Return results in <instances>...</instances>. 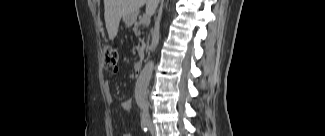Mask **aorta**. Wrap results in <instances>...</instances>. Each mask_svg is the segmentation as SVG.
Segmentation results:
<instances>
[{
    "instance_id": "762f6f07",
    "label": "aorta",
    "mask_w": 325,
    "mask_h": 136,
    "mask_svg": "<svg viewBox=\"0 0 325 136\" xmlns=\"http://www.w3.org/2000/svg\"><path fill=\"white\" fill-rule=\"evenodd\" d=\"M154 70V62L149 61L141 71L135 85V100L142 110L147 108V89Z\"/></svg>"
}]
</instances>
